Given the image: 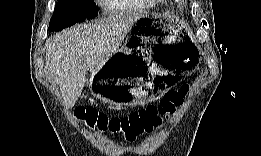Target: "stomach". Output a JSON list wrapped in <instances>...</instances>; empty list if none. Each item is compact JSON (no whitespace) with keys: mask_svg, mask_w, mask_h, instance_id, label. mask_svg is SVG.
I'll use <instances>...</instances> for the list:
<instances>
[{"mask_svg":"<svg viewBox=\"0 0 261 156\" xmlns=\"http://www.w3.org/2000/svg\"><path fill=\"white\" fill-rule=\"evenodd\" d=\"M156 43L158 55L133 68L123 59L143 46ZM199 54L187 28L170 16H146L127 34L115 62L92 74L89 87L94 97L115 106H137L160 99L197 65ZM97 74H100L98 77Z\"/></svg>","mask_w":261,"mask_h":156,"instance_id":"stomach-1","label":"stomach"}]
</instances>
